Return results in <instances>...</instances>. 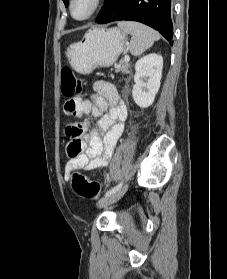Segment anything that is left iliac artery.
<instances>
[{
  "label": "left iliac artery",
  "mask_w": 227,
  "mask_h": 279,
  "mask_svg": "<svg viewBox=\"0 0 227 279\" xmlns=\"http://www.w3.org/2000/svg\"><path fill=\"white\" fill-rule=\"evenodd\" d=\"M122 185H123V182H120L117 186H115V187H113L112 189H110L109 191H107L106 194H105V196L107 197V196H109V195L115 193L116 191H118L119 189H121Z\"/></svg>",
  "instance_id": "left-iliac-artery-1"
}]
</instances>
